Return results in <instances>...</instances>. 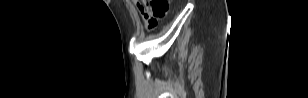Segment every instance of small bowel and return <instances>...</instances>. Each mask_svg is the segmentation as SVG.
Here are the masks:
<instances>
[{
  "mask_svg": "<svg viewBox=\"0 0 308 98\" xmlns=\"http://www.w3.org/2000/svg\"><path fill=\"white\" fill-rule=\"evenodd\" d=\"M134 2L137 5L138 9L140 10L139 4L136 1H134Z\"/></svg>",
  "mask_w": 308,
  "mask_h": 98,
  "instance_id": "1",
  "label": "small bowel"
}]
</instances>
